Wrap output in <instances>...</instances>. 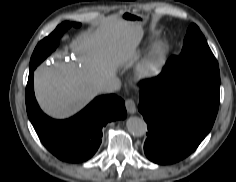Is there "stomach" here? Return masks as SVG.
I'll use <instances>...</instances> for the list:
<instances>
[{
  "label": "stomach",
  "instance_id": "stomach-1",
  "mask_svg": "<svg viewBox=\"0 0 236 182\" xmlns=\"http://www.w3.org/2000/svg\"><path fill=\"white\" fill-rule=\"evenodd\" d=\"M121 19L130 23L131 25H140L141 27L147 22V19L143 16L132 14L130 12H125L121 16Z\"/></svg>",
  "mask_w": 236,
  "mask_h": 182
}]
</instances>
